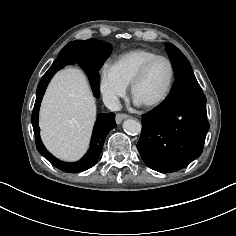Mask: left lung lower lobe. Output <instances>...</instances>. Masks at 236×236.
Returning <instances> with one entry per match:
<instances>
[{
    "instance_id": "0a47b994",
    "label": "left lung lower lobe",
    "mask_w": 236,
    "mask_h": 236,
    "mask_svg": "<svg viewBox=\"0 0 236 236\" xmlns=\"http://www.w3.org/2000/svg\"><path fill=\"white\" fill-rule=\"evenodd\" d=\"M208 130L205 95L194 73L186 72L160 105L142 115L137 149L151 169L175 172L201 155Z\"/></svg>"
}]
</instances>
